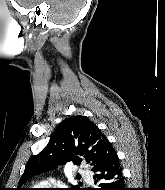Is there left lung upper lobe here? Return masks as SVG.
Wrapping results in <instances>:
<instances>
[{
	"mask_svg": "<svg viewBox=\"0 0 165 190\" xmlns=\"http://www.w3.org/2000/svg\"><path fill=\"white\" fill-rule=\"evenodd\" d=\"M114 153L111 143L92 121L85 116H72L57 126L47 146L28 161L18 186L35 174L67 162L79 165L85 161L93 171Z\"/></svg>",
	"mask_w": 165,
	"mask_h": 190,
	"instance_id": "obj_1",
	"label": "left lung upper lobe"
}]
</instances>
